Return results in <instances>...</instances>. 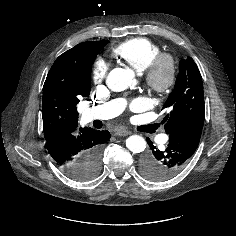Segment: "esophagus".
I'll use <instances>...</instances> for the list:
<instances>
[{"mask_svg": "<svg viewBox=\"0 0 236 236\" xmlns=\"http://www.w3.org/2000/svg\"><path fill=\"white\" fill-rule=\"evenodd\" d=\"M130 134H131V132L128 130H125V129H118L115 133V135H117V136H127Z\"/></svg>", "mask_w": 236, "mask_h": 236, "instance_id": "34e87169", "label": "esophagus"}]
</instances>
